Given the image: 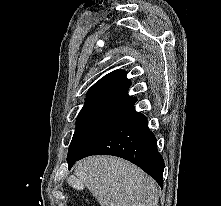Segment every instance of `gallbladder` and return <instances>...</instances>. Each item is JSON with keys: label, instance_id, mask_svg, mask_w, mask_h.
I'll return each mask as SVG.
<instances>
[{"label": "gallbladder", "instance_id": "1", "mask_svg": "<svg viewBox=\"0 0 221 206\" xmlns=\"http://www.w3.org/2000/svg\"><path fill=\"white\" fill-rule=\"evenodd\" d=\"M82 181H70L69 185L73 186V190H86V185H82Z\"/></svg>", "mask_w": 221, "mask_h": 206}]
</instances>
